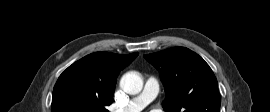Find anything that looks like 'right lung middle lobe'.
I'll return each instance as SVG.
<instances>
[{"label":"right lung middle lobe","instance_id":"obj_1","mask_svg":"<svg viewBox=\"0 0 270 112\" xmlns=\"http://www.w3.org/2000/svg\"><path fill=\"white\" fill-rule=\"evenodd\" d=\"M94 107L74 99L65 100L61 105L59 112H97Z\"/></svg>","mask_w":270,"mask_h":112}]
</instances>
